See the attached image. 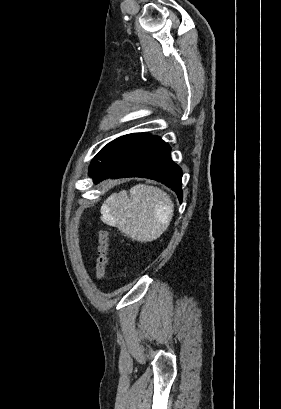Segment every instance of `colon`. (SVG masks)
I'll return each mask as SVG.
<instances>
[{
	"label": "colon",
	"instance_id": "5ec220e1",
	"mask_svg": "<svg viewBox=\"0 0 281 409\" xmlns=\"http://www.w3.org/2000/svg\"><path fill=\"white\" fill-rule=\"evenodd\" d=\"M97 247L96 278L101 282L106 271L109 252L108 232L105 229H100L97 233Z\"/></svg>",
	"mask_w": 281,
	"mask_h": 409
}]
</instances>
